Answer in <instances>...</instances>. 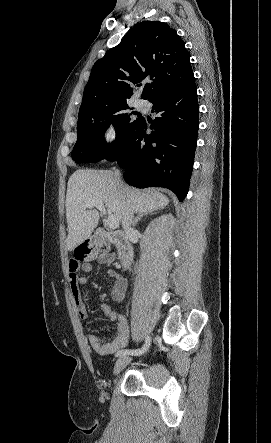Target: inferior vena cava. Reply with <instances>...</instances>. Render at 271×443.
<instances>
[{"label": "inferior vena cava", "mask_w": 271, "mask_h": 443, "mask_svg": "<svg viewBox=\"0 0 271 443\" xmlns=\"http://www.w3.org/2000/svg\"><path fill=\"white\" fill-rule=\"evenodd\" d=\"M114 180H116V188L117 190H119V192H126L125 190V186H124V182H122L121 180V174L119 172V170H116L115 174H114ZM133 218H134V212L133 210H130V212H126L124 218H123V229H125V231H133L132 227H131V223L133 222ZM123 265H127V259H123L122 261Z\"/></svg>", "instance_id": "1"}]
</instances>
